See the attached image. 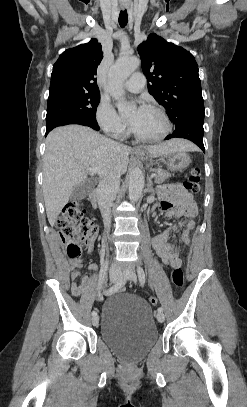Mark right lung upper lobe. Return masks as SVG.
Here are the masks:
<instances>
[{
  "label": "right lung upper lobe",
  "mask_w": 247,
  "mask_h": 407,
  "mask_svg": "<svg viewBox=\"0 0 247 407\" xmlns=\"http://www.w3.org/2000/svg\"><path fill=\"white\" fill-rule=\"evenodd\" d=\"M101 59V44L96 39L65 50L54 64L50 93L63 90L99 92L95 76Z\"/></svg>",
  "instance_id": "1"
}]
</instances>
